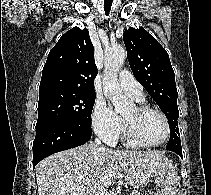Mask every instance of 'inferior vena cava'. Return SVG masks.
I'll use <instances>...</instances> for the list:
<instances>
[{"label":"inferior vena cava","mask_w":211,"mask_h":195,"mask_svg":"<svg viewBox=\"0 0 211 195\" xmlns=\"http://www.w3.org/2000/svg\"><path fill=\"white\" fill-rule=\"evenodd\" d=\"M95 144H96V145H101V141H100L98 138H96V139H95ZM101 149L104 150L105 148L101 146ZM96 195H107V194H106V189H105V187L99 185L98 191L96 192Z\"/></svg>","instance_id":"inferior-vena-cava-1"}]
</instances>
